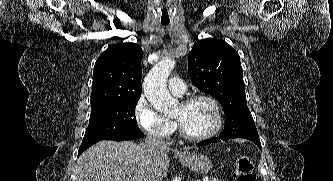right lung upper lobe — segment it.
I'll return each mask as SVG.
<instances>
[{
    "label": "right lung upper lobe",
    "mask_w": 333,
    "mask_h": 181,
    "mask_svg": "<svg viewBox=\"0 0 333 181\" xmlns=\"http://www.w3.org/2000/svg\"><path fill=\"white\" fill-rule=\"evenodd\" d=\"M142 49L135 43L108 47L96 60L91 107L141 96Z\"/></svg>",
    "instance_id": "1"
}]
</instances>
